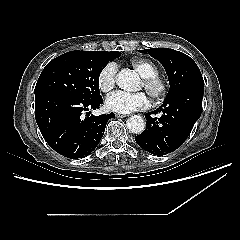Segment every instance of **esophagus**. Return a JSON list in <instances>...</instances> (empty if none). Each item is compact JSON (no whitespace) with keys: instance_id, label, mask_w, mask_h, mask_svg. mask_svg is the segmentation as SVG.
<instances>
[{"instance_id":"1","label":"esophagus","mask_w":240,"mask_h":240,"mask_svg":"<svg viewBox=\"0 0 240 240\" xmlns=\"http://www.w3.org/2000/svg\"><path fill=\"white\" fill-rule=\"evenodd\" d=\"M115 116L118 118H125V117H128L129 115H122V114L116 113Z\"/></svg>"}]
</instances>
